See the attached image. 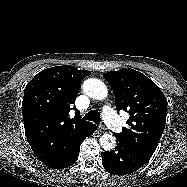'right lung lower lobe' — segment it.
I'll return each instance as SVG.
<instances>
[{"instance_id":"98d812e1","label":"right lung lower lobe","mask_w":187,"mask_h":187,"mask_svg":"<svg viewBox=\"0 0 187 187\" xmlns=\"http://www.w3.org/2000/svg\"><path fill=\"white\" fill-rule=\"evenodd\" d=\"M95 130L96 129L91 130L90 132L86 133L85 135L79 137L78 139L73 140L71 142V147H70V150H69L67 156L65 158L58 160L57 162H55L51 165H47V166L50 168H53V169H63V168H67V167L73 165L78 158L81 143L83 142V140L86 137L92 135Z\"/></svg>"}]
</instances>
